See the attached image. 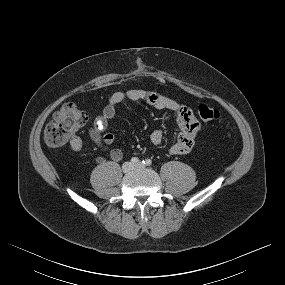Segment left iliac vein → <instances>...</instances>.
I'll return each mask as SVG.
<instances>
[{"label":"left iliac vein","instance_id":"left-iliac-vein-1","mask_svg":"<svg viewBox=\"0 0 285 285\" xmlns=\"http://www.w3.org/2000/svg\"><path fill=\"white\" fill-rule=\"evenodd\" d=\"M133 168L134 169L145 168V165L140 162V163H137V164L133 165Z\"/></svg>","mask_w":285,"mask_h":285}]
</instances>
